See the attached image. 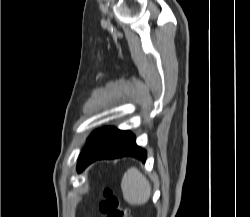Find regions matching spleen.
I'll list each match as a JSON object with an SVG mask.
<instances>
[{
    "instance_id": "obj_1",
    "label": "spleen",
    "mask_w": 250,
    "mask_h": 217,
    "mask_svg": "<svg viewBox=\"0 0 250 217\" xmlns=\"http://www.w3.org/2000/svg\"><path fill=\"white\" fill-rule=\"evenodd\" d=\"M121 189L124 199L131 205H143L151 196V185L147 178L135 168H129L123 175Z\"/></svg>"
}]
</instances>
